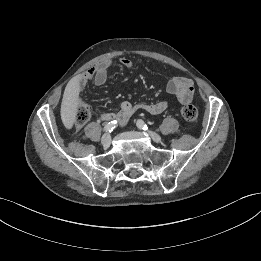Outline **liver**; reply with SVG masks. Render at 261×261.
Instances as JSON below:
<instances>
[{
    "instance_id": "6515ba94",
    "label": "liver",
    "mask_w": 261,
    "mask_h": 261,
    "mask_svg": "<svg viewBox=\"0 0 261 261\" xmlns=\"http://www.w3.org/2000/svg\"><path fill=\"white\" fill-rule=\"evenodd\" d=\"M79 93V79L74 77L66 85L61 104V117L66 125L71 126L76 119Z\"/></svg>"
}]
</instances>
